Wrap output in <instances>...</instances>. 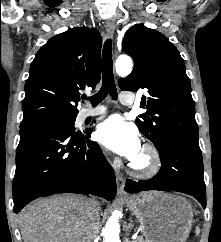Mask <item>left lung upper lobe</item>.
Segmentation results:
<instances>
[{"label": "left lung upper lobe", "instance_id": "obj_1", "mask_svg": "<svg viewBox=\"0 0 221 242\" xmlns=\"http://www.w3.org/2000/svg\"><path fill=\"white\" fill-rule=\"evenodd\" d=\"M123 51L134 60V69L119 81L122 90L148 89L141 107L147 112L136 119L139 130L156 148L170 136L198 139L195 103L184 61L162 33L137 24L127 30Z\"/></svg>", "mask_w": 221, "mask_h": 242}]
</instances>
